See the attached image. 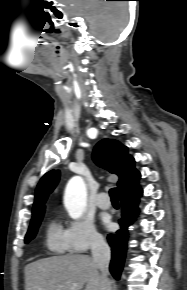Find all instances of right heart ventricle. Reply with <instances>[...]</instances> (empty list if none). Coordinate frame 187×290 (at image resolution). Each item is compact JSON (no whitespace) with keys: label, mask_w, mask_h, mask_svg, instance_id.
<instances>
[{"label":"right heart ventricle","mask_w":187,"mask_h":290,"mask_svg":"<svg viewBox=\"0 0 187 290\" xmlns=\"http://www.w3.org/2000/svg\"><path fill=\"white\" fill-rule=\"evenodd\" d=\"M46 245L50 251L56 254H63L69 250L65 230L57 221L53 220L48 225Z\"/></svg>","instance_id":"obj_1"}]
</instances>
